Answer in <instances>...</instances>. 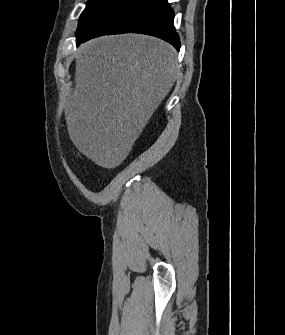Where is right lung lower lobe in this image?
I'll use <instances>...</instances> for the list:
<instances>
[{
  "instance_id": "obj_1",
  "label": "right lung lower lobe",
  "mask_w": 285,
  "mask_h": 335,
  "mask_svg": "<svg viewBox=\"0 0 285 335\" xmlns=\"http://www.w3.org/2000/svg\"><path fill=\"white\" fill-rule=\"evenodd\" d=\"M167 1L121 0L89 29L80 42L108 34L140 33L163 39L179 51L174 12Z\"/></svg>"
}]
</instances>
